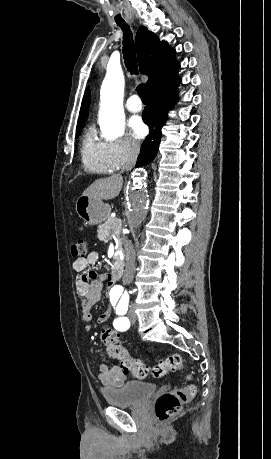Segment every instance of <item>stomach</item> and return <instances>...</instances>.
<instances>
[{
  "label": "stomach",
  "mask_w": 271,
  "mask_h": 459,
  "mask_svg": "<svg viewBox=\"0 0 271 459\" xmlns=\"http://www.w3.org/2000/svg\"><path fill=\"white\" fill-rule=\"evenodd\" d=\"M76 212L79 218L84 220L89 226H96L108 220L110 216V208L108 204H103L101 200H91L88 196L78 198L76 202Z\"/></svg>",
  "instance_id": "stomach-1"
}]
</instances>
